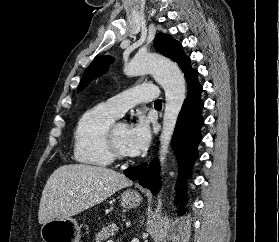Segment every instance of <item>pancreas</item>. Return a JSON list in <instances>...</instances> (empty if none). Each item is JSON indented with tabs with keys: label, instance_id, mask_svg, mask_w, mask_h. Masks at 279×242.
<instances>
[{
	"label": "pancreas",
	"instance_id": "cf45deb5",
	"mask_svg": "<svg viewBox=\"0 0 279 242\" xmlns=\"http://www.w3.org/2000/svg\"><path fill=\"white\" fill-rule=\"evenodd\" d=\"M118 231L116 224L111 223L103 227L102 230L96 234V242L106 241L110 236H114Z\"/></svg>",
	"mask_w": 279,
	"mask_h": 242
}]
</instances>
